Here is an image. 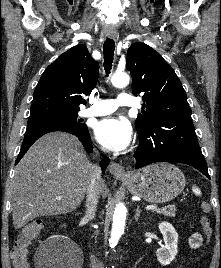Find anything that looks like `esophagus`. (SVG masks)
Here are the masks:
<instances>
[{
  "instance_id": "obj_1",
  "label": "esophagus",
  "mask_w": 221,
  "mask_h": 268,
  "mask_svg": "<svg viewBox=\"0 0 221 268\" xmlns=\"http://www.w3.org/2000/svg\"><path fill=\"white\" fill-rule=\"evenodd\" d=\"M110 171L117 179H124L128 176L124 167L119 163H111Z\"/></svg>"
}]
</instances>
